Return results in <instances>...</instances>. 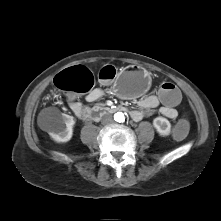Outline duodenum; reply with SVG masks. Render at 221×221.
Instances as JSON below:
<instances>
[{"mask_svg": "<svg viewBox=\"0 0 221 221\" xmlns=\"http://www.w3.org/2000/svg\"><path fill=\"white\" fill-rule=\"evenodd\" d=\"M117 111H125L124 107H103V106H96L91 109H88L84 115V119L98 121L104 115L113 114Z\"/></svg>", "mask_w": 221, "mask_h": 221, "instance_id": "410a0bca", "label": "duodenum"}]
</instances>
